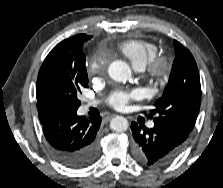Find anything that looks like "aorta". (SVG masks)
Returning <instances> with one entry per match:
<instances>
[{"label": "aorta", "mask_w": 223, "mask_h": 188, "mask_svg": "<svg viewBox=\"0 0 223 188\" xmlns=\"http://www.w3.org/2000/svg\"><path fill=\"white\" fill-rule=\"evenodd\" d=\"M108 73L113 80L123 82L130 78L131 69L124 61L116 60L110 63ZM110 128L116 132H124L128 128V121L122 116H116L111 120Z\"/></svg>", "instance_id": "obj_1"}]
</instances>
